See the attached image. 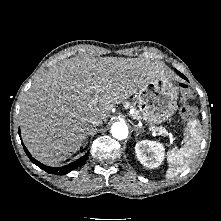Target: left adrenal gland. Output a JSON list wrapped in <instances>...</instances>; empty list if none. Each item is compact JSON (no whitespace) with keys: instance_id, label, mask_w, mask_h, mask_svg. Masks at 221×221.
<instances>
[{"instance_id":"a2214340","label":"left adrenal gland","mask_w":221,"mask_h":221,"mask_svg":"<svg viewBox=\"0 0 221 221\" xmlns=\"http://www.w3.org/2000/svg\"><path fill=\"white\" fill-rule=\"evenodd\" d=\"M134 130H135V132H136V134H135V139H137V138H138V135L141 133V130H139L136 125H134Z\"/></svg>"}]
</instances>
